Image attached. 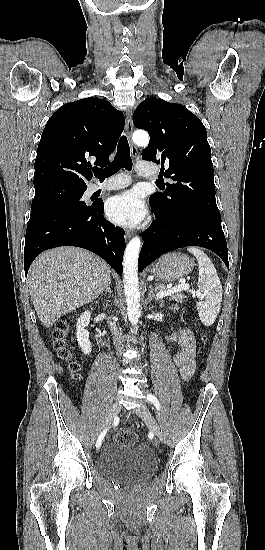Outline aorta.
<instances>
[{
    "mask_svg": "<svg viewBox=\"0 0 265 550\" xmlns=\"http://www.w3.org/2000/svg\"><path fill=\"white\" fill-rule=\"evenodd\" d=\"M138 146H147L149 135L144 131H138L132 137ZM141 248V239L132 238L123 257V282L127 303V314L132 325H137L140 316V291L138 282V257Z\"/></svg>",
    "mask_w": 265,
    "mask_h": 550,
    "instance_id": "aorta-1",
    "label": "aorta"
}]
</instances>
